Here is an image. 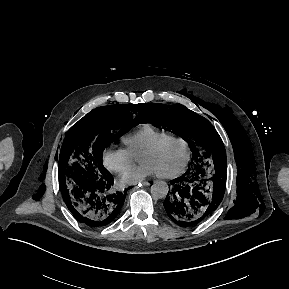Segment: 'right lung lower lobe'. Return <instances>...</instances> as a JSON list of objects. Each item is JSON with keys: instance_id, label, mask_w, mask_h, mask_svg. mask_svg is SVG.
<instances>
[{"instance_id": "98d812e1", "label": "right lung lower lobe", "mask_w": 289, "mask_h": 289, "mask_svg": "<svg viewBox=\"0 0 289 289\" xmlns=\"http://www.w3.org/2000/svg\"><path fill=\"white\" fill-rule=\"evenodd\" d=\"M128 189L125 192L115 190L109 172L91 185L80 186L62 195L77 221L91 228H102L117 219Z\"/></svg>"}]
</instances>
